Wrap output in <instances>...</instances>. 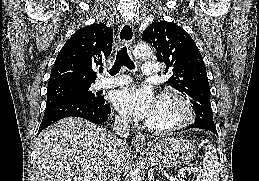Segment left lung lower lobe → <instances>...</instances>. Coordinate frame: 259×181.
Returning a JSON list of instances; mask_svg holds the SVG:
<instances>
[{
  "instance_id": "left-lung-lower-lobe-1",
  "label": "left lung lower lobe",
  "mask_w": 259,
  "mask_h": 181,
  "mask_svg": "<svg viewBox=\"0 0 259 181\" xmlns=\"http://www.w3.org/2000/svg\"><path fill=\"white\" fill-rule=\"evenodd\" d=\"M190 128H199V129L209 130L218 136L216 128H211L209 126L200 125V124H196V123L189 125L186 129H190Z\"/></svg>"
}]
</instances>
